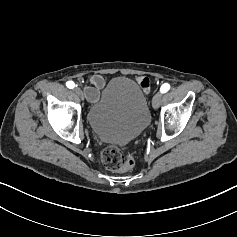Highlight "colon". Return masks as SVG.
Listing matches in <instances>:
<instances>
[{
	"label": "colon",
	"mask_w": 237,
	"mask_h": 237,
	"mask_svg": "<svg viewBox=\"0 0 237 237\" xmlns=\"http://www.w3.org/2000/svg\"><path fill=\"white\" fill-rule=\"evenodd\" d=\"M101 160L104 166L111 171H127L135 163L134 156L131 153L124 154L119 148L110 146L101 153Z\"/></svg>",
	"instance_id": "obj_1"
}]
</instances>
